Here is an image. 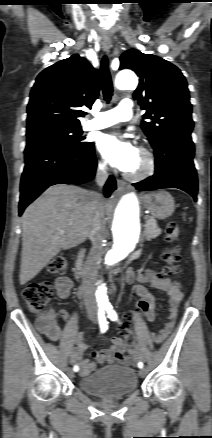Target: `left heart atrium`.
Masks as SVG:
<instances>
[{"instance_id": "obj_1", "label": "left heart atrium", "mask_w": 212, "mask_h": 438, "mask_svg": "<svg viewBox=\"0 0 212 438\" xmlns=\"http://www.w3.org/2000/svg\"><path fill=\"white\" fill-rule=\"evenodd\" d=\"M98 148L107 161L123 171H129L138 157L137 148L116 135H102Z\"/></svg>"}]
</instances>
